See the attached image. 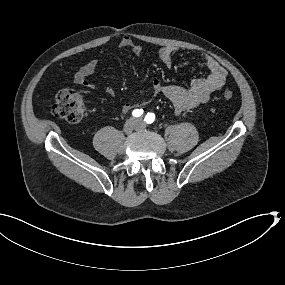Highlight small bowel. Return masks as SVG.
Returning a JSON list of instances; mask_svg holds the SVG:
<instances>
[{"instance_id":"1","label":"small bowel","mask_w":285,"mask_h":285,"mask_svg":"<svg viewBox=\"0 0 285 285\" xmlns=\"http://www.w3.org/2000/svg\"><path fill=\"white\" fill-rule=\"evenodd\" d=\"M120 46L122 48L130 49L138 56L143 52L142 46L135 43L130 37H123L120 41ZM176 50V48L171 46L162 47L158 53L159 59L164 64L171 65ZM202 60L203 65L207 70V74L204 77L193 79L187 88L178 85H162L160 82L155 81L152 86L153 95H164L172 102L176 113H181L206 103L214 91L219 90L224 86L227 73L224 67L214 58L204 55ZM97 67L98 61L96 59L88 61L75 74L74 82L86 89H95L96 84L89 81L88 78L95 73ZM106 93L109 96H113L115 94L114 87L108 86L106 88ZM135 107V104L126 103L122 106V111L127 112Z\"/></svg>"}]
</instances>
